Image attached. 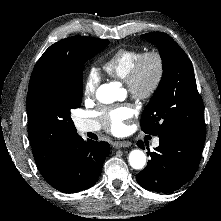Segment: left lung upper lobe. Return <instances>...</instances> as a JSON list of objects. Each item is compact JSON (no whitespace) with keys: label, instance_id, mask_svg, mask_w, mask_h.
Wrapping results in <instances>:
<instances>
[{"label":"left lung upper lobe","instance_id":"5c2ea615","mask_svg":"<svg viewBox=\"0 0 221 221\" xmlns=\"http://www.w3.org/2000/svg\"><path fill=\"white\" fill-rule=\"evenodd\" d=\"M142 37L159 47L163 64L160 84L141 117L142 131L159 137L170 133L204 135L203 101L187 55L163 32Z\"/></svg>","mask_w":221,"mask_h":221}]
</instances>
